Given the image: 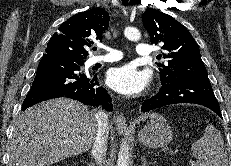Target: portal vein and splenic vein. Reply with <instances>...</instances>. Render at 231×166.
<instances>
[{
	"instance_id": "obj_1",
	"label": "portal vein and splenic vein",
	"mask_w": 231,
	"mask_h": 166,
	"mask_svg": "<svg viewBox=\"0 0 231 166\" xmlns=\"http://www.w3.org/2000/svg\"><path fill=\"white\" fill-rule=\"evenodd\" d=\"M192 165H193V166H197V164H195L194 162H192Z\"/></svg>"
}]
</instances>
